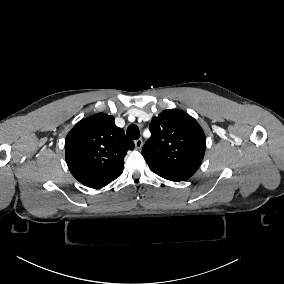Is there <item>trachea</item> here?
Wrapping results in <instances>:
<instances>
[{
  "mask_svg": "<svg viewBox=\"0 0 284 284\" xmlns=\"http://www.w3.org/2000/svg\"><path fill=\"white\" fill-rule=\"evenodd\" d=\"M126 135L131 139H138L140 137L139 128L135 124L130 125L126 131Z\"/></svg>",
  "mask_w": 284,
  "mask_h": 284,
  "instance_id": "trachea-1",
  "label": "trachea"
}]
</instances>
